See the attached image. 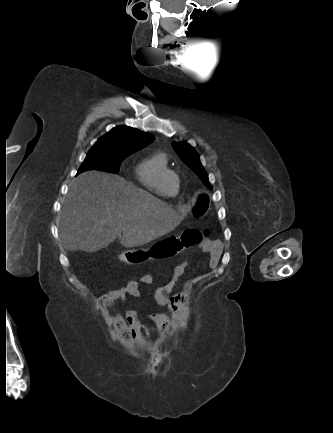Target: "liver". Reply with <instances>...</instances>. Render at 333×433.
<instances>
[{
	"label": "liver",
	"mask_w": 333,
	"mask_h": 433,
	"mask_svg": "<svg viewBox=\"0 0 333 433\" xmlns=\"http://www.w3.org/2000/svg\"><path fill=\"white\" fill-rule=\"evenodd\" d=\"M185 208V201L168 206L118 175L86 171L71 182L59 234L68 250L96 252L121 234V245L133 248L174 230Z\"/></svg>",
	"instance_id": "obj_1"
}]
</instances>
